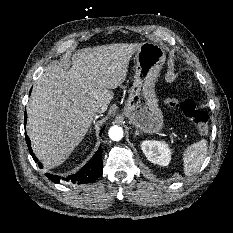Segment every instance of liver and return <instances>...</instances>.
<instances>
[{
	"instance_id": "liver-1",
	"label": "liver",
	"mask_w": 233,
	"mask_h": 233,
	"mask_svg": "<svg viewBox=\"0 0 233 233\" xmlns=\"http://www.w3.org/2000/svg\"><path fill=\"white\" fill-rule=\"evenodd\" d=\"M141 44L114 43L76 51L69 70L52 64L36 81L27 105V134L42 163L62 164L85 137L94 109L104 113L126 79Z\"/></svg>"
}]
</instances>
